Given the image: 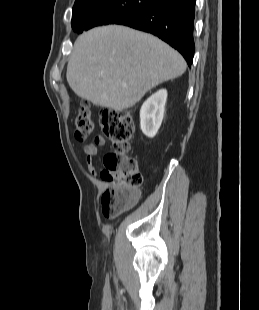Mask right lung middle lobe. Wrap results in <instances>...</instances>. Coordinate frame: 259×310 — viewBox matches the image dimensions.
Segmentation results:
<instances>
[{
	"label": "right lung middle lobe",
	"instance_id": "1",
	"mask_svg": "<svg viewBox=\"0 0 259 310\" xmlns=\"http://www.w3.org/2000/svg\"><path fill=\"white\" fill-rule=\"evenodd\" d=\"M155 0H102L95 4L73 9L72 28L81 33L95 26L114 24L143 8Z\"/></svg>",
	"mask_w": 259,
	"mask_h": 310
}]
</instances>
